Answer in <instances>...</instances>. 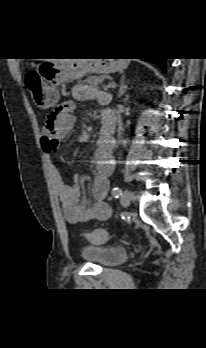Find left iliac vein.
<instances>
[{"mask_svg":"<svg viewBox=\"0 0 206 348\" xmlns=\"http://www.w3.org/2000/svg\"><path fill=\"white\" fill-rule=\"evenodd\" d=\"M132 193L128 190H125L120 197V202L123 206L128 207L130 206L131 202H132Z\"/></svg>","mask_w":206,"mask_h":348,"instance_id":"obj_1","label":"left iliac vein"}]
</instances>
